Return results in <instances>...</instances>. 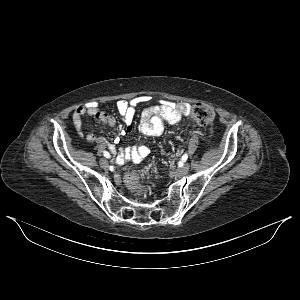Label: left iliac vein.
Returning a JSON list of instances; mask_svg holds the SVG:
<instances>
[{"instance_id": "left-iliac-vein-1", "label": "left iliac vein", "mask_w": 300, "mask_h": 300, "mask_svg": "<svg viewBox=\"0 0 300 300\" xmlns=\"http://www.w3.org/2000/svg\"><path fill=\"white\" fill-rule=\"evenodd\" d=\"M189 169H190V165L188 163H186L181 168H178L177 170H175L174 174L178 177H182V176H185L189 172Z\"/></svg>"}]
</instances>
